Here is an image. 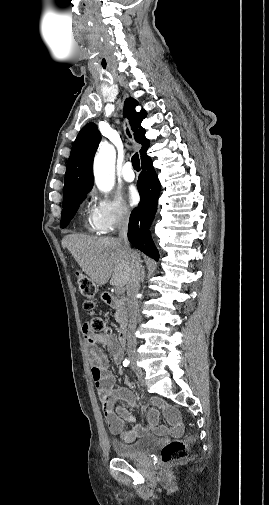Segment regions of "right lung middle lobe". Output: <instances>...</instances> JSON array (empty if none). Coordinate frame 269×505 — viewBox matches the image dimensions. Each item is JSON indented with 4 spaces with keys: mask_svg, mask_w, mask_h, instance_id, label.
<instances>
[{
    "mask_svg": "<svg viewBox=\"0 0 269 505\" xmlns=\"http://www.w3.org/2000/svg\"><path fill=\"white\" fill-rule=\"evenodd\" d=\"M89 191L90 190L78 193V194L68 198L67 200L63 201V210H62V218H61V222H60V227L64 228L68 225V223L70 222V220L73 218L74 214L76 213V211L79 207V203H81L85 199V197Z\"/></svg>",
    "mask_w": 269,
    "mask_h": 505,
    "instance_id": "dd1d6c3e",
    "label": "right lung middle lobe"
}]
</instances>
